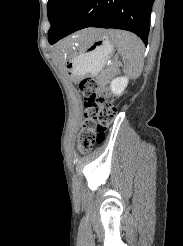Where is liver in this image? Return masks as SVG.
I'll list each match as a JSON object with an SVG mask.
<instances>
[{"mask_svg":"<svg viewBox=\"0 0 183 246\" xmlns=\"http://www.w3.org/2000/svg\"><path fill=\"white\" fill-rule=\"evenodd\" d=\"M104 32V30L101 29H86L80 32H77L76 34H74L72 37L66 39L64 42H62L59 45V48L62 51H71L74 46H79L82 45L86 42L89 41H93L96 38H98L102 33Z\"/></svg>","mask_w":183,"mask_h":246,"instance_id":"6515ba94","label":"liver"}]
</instances>
